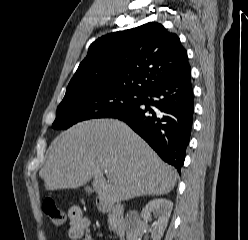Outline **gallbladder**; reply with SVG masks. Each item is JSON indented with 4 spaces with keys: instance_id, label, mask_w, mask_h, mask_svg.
I'll return each instance as SVG.
<instances>
[{
    "instance_id": "bac80fb5",
    "label": "gallbladder",
    "mask_w": 248,
    "mask_h": 240,
    "mask_svg": "<svg viewBox=\"0 0 248 240\" xmlns=\"http://www.w3.org/2000/svg\"><path fill=\"white\" fill-rule=\"evenodd\" d=\"M85 191L88 192V193H91L92 189L90 187H85Z\"/></svg>"
}]
</instances>
